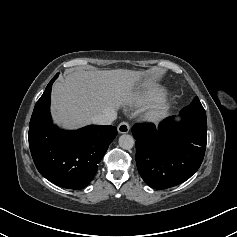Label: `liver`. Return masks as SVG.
<instances>
[{"instance_id":"6515ba94","label":"liver","mask_w":237,"mask_h":237,"mask_svg":"<svg viewBox=\"0 0 237 237\" xmlns=\"http://www.w3.org/2000/svg\"><path fill=\"white\" fill-rule=\"evenodd\" d=\"M147 71L71 70L52 88L51 112L55 123L76 129L99 114L118 110L133 98V90ZM153 76L146 86H152Z\"/></svg>"}]
</instances>
